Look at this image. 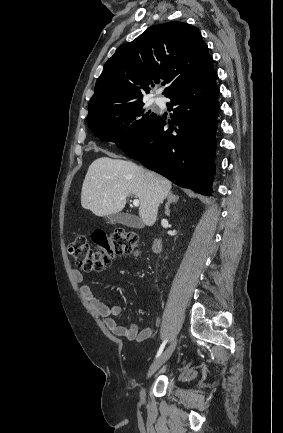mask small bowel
<instances>
[{
    "label": "small bowel",
    "mask_w": 283,
    "mask_h": 433,
    "mask_svg": "<svg viewBox=\"0 0 283 433\" xmlns=\"http://www.w3.org/2000/svg\"><path fill=\"white\" fill-rule=\"evenodd\" d=\"M74 279L77 283H82L85 279L84 274L75 270L73 272ZM81 295L92 305L97 311L99 316L104 319L106 327L115 335L125 337L129 341L143 342L149 339L153 334L151 326H147L143 329H139L137 324H131L130 326H123L118 323L116 318L121 316L122 308L120 305H106L105 303L98 300L89 285L83 284L80 287Z\"/></svg>",
    "instance_id": "small-bowel-1"
}]
</instances>
